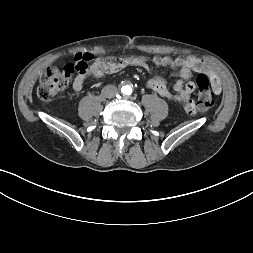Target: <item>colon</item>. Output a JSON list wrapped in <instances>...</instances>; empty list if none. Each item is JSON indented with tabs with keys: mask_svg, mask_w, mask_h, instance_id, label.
<instances>
[{
	"mask_svg": "<svg viewBox=\"0 0 253 253\" xmlns=\"http://www.w3.org/2000/svg\"><path fill=\"white\" fill-rule=\"evenodd\" d=\"M92 55L81 56L76 61L46 70L40 77L37 96L41 100H50L67 87L74 75L85 74ZM199 89L198 111L208 109L211 105V90L208 77L200 73L196 78Z\"/></svg>",
	"mask_w": 253,
	"mask_h": 253,
	"instance_id": "obj_1",
	"label": "colon"
}]
</instances>
